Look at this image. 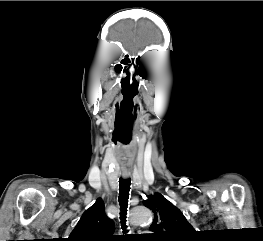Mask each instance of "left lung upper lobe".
Listing matches in <instances>:
<instances>
[{
	"mask_svg": "<svg viewBox=\"0 0 263 241\" xmlns=\"http://www.w3.org/2000/svg\"><path fill=\"white\" fill-rule=\"evenodd\" d=\"M143 204L154 212L148 236L153 241H192L196 231L182 212L160 193L148 196Z\"/></svg>",
	"mask_w": 263,
	"mask_h": 241,
	"instance_id": "left-lung-upper-lobe-1",
	"label": "left lung upper lobe"
}]
</instances>
